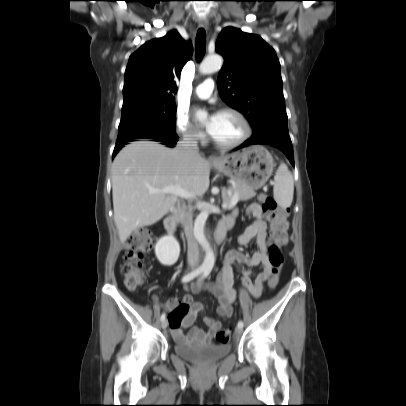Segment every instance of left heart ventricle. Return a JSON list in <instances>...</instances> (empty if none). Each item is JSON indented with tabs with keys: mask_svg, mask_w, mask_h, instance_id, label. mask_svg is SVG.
I'll list each match as a JSON object with an SVG mask.
<instances>
[{
	"mask_svg": "<svg viewBox=\"0 0 406 406\" xmlns=\"http://www.w3.org/2000/svg\"><path fill=\"white\" fill-rule=\"evenodd\" d=\"M209 133L218 141L231 143L239 139L243 133V126L239 119L231 113L217 115L214 126Z\"/></svg>",
	"mask_w": 406,
	"mask_h": 406,
	"instance_id": "obj_1",
	"label": "left heart ventricle"
}]
</instances>
